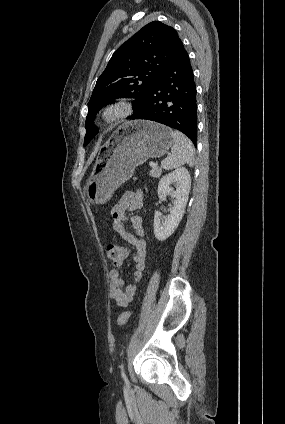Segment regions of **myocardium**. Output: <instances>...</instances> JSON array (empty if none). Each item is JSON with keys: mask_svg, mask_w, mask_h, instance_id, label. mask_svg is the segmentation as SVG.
Segmentation results:
<instances>
[{"mask_svg": "<svg viewBox=\"0 0 285 424\" xmlns=\"http://www.w3.org/2000/svg\"><path fill=\"white\" fill-rule=\"evenodd\" d=\"M134 113V106L128 98H118L108 103L100 113V123L113 127L126 120Z\"/></svg>", "mask_w": 285, "mask_h": 424, "instance_id": "obj_1", "label": "myocardium"}]
</instances>
